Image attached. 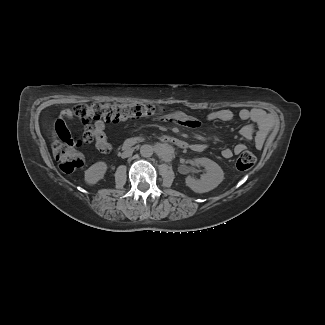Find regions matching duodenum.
I'll list each match as a JSON object with an SVG mask.
<instances>
[{
	"label": "duodenum",
	"instance_id": "obj_1",
	"mask_svg": "<svg viewBox=\"0 0 325 325\" xmlns=\"http://www.w3.org/2000/svg\"><path fill=\"white\" fill-rule=\"evenodd\" d=\"M143 141H144L143 137L129 138L123 142L122 147L124 149H129L142 143ZM161 141L163 143L170 144L181 149H186L188 147V144L184 140H181L179 138L170 135H163L161 137Z\"/></svg>",
	"mask_w": 325,
	"mask_h": 325
}]
</instances>
